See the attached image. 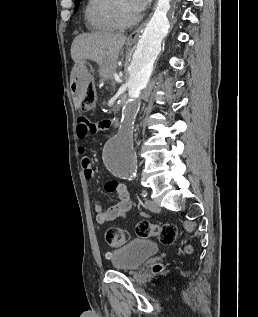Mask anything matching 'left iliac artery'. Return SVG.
<instances>
[{
	"instance_id": "44dca946",
	"label": "left iliac artery",
	"mask_w": 258,
	"mask_h": 317,
	"mask_svg": "<svg viewBox=\"0 0 258 317\" xmlns=\"http://www.w3.org/2000/svg\"><path fill=\"white\" fill-rule=\"evenodd\" d=\"M127 179H128V180H133V177H127ZM147 195H148L147 191H146V190H142L141 196H142L143 198H146Z\"/></svg>"
}]
</instances>
